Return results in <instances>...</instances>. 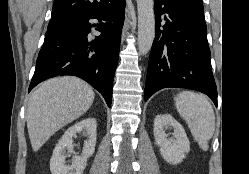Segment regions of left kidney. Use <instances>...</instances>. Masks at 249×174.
Instances as JSON below:
<instances>
[{
  "label": "left kidney",
  "mask_w": 249,
  "mask_h": 174,
  "mask_svg": "<svg viewBox=\"0 0 249 174\" xmlns=\"http://www.w3.org/2000/svg\"><path fill=\"white\" fill-rule=\"evenodd\" d=\"M168 127L174 129L172 138H168L169 134L165 133ZM153 131L155 143L160 147V154L168 163L173 165L180 163L190 151L189 139L184 128L171 115H157L154 119Z\"/></svg>",
  "instance_id": "left-kidney-1"
}]
</instances>
